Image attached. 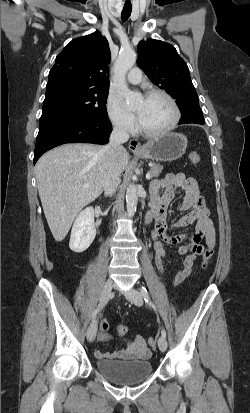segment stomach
Segmentation results:
<instances>
[{
    "label": "stomach",
    "mask_w": 250,
    "mask_h": 413,
    "mask_svg": "<svg viewBox=\"0 0 250 413\" xmlns=\"http://www.w3.org/2000/svg\"><path fill=\"white\" fill-rule=\"evenodd\" d=\"M138 157L156 161H173L180 158L187 148V137L181 133H166L149 141Z\"/></svg>",
    "instance_id": "1"
}]
</instances>
